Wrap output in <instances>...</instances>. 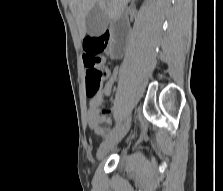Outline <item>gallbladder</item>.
<instances>
[{"mask_svg": "<svg viewBox=\"0 0 223 191\" xmlns=\"http://www.w3.org/2000/svg\"><path fill=\"white\" fill-rule=\"evenodd\" d=\"M107 24V14L98 6H94L86 16V31L90 36L101 35Z\"/></svg>", "mask_w": 223, "mask_h": 191, "instance_id": "bac80fb5", "label": "gallbladder"}]
</instances>
